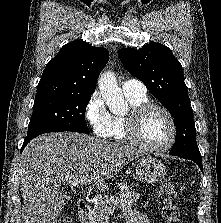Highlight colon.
I'll return each instance as SVG.
<instances>
[{
	"label": "colon",
	"mask_w": 221,
	"mask_h": 223,
	"mask_svg": "<svg viewBox=\"0 0 221 223\" xmlns=\"http://www.w3.org/2000/svg\"><path fill=\"white\" fill-rule=\"evenodd\" d=\"M159 201L162 204V215L165 223H182L180 219V212L175 205L177 192L174 184L165 179L159 187ZM58 223H71L68 216H62L59 218Z\"/></svg>",
	"instance_id": "5ec220e1"
}]
</instances>
